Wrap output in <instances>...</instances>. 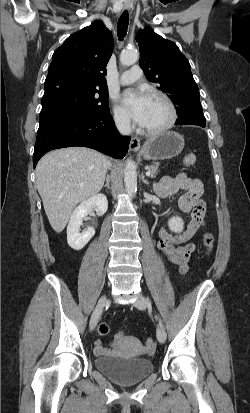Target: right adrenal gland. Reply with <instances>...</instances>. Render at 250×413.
<instances>
[{"mask_svg":"<svg viewBox=\"0 0 250 413\" xmlns=\"http://www.w3.org/2000/svg\"><path fill=\"white\" fill-rule=\"evenodd\" d=\"M104 188H110V176L109 175H107V177H106V184L104 185Z\"/></svg>","mask_w":250,"mask_h":413,"instance_id":"right-adrenal-gland-1","label":"right adrenal gland"}]
</instances>
